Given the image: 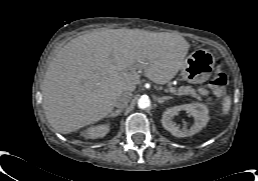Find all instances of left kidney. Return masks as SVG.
<instances>
[{"label":"left kidney","instance_id":"1","mask_svg":"<svg viewBox=\"0 0 258 181\" xmlns=\"http://www.w3.org/2000/svg\"><path fill=\"white\" fill-rule=\"evenodd\" d=\"M181 110L187 111L194 117V125L190 129H179L172 121V118ZM208 109L204 104L191 103L174 106L167 109L162 115V125L172 135L176 137H188L199 132L209 121Z\"/></svg>","mask_w":258,"mask_h":181}]
</instances>
